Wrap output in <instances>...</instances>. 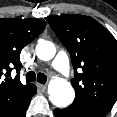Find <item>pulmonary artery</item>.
I'll return each mask as SVG.
<instances>
[{"instance_id":"pulmonary-artery-1","label":"pulmonary artery","mask_w":117,"mask_h":117,"mask_svg":"<svg viewBox=\"0 0 117 117\" xmlns=\"http://www.w3.org/2000/svg\"><path fill=\"white\" fill-rule=\"evenodd\" d=\"M51 67L63 77H68L71 74L68 55L63 51L57 54L51 63Z\"/></svg>"}]
</instances>
